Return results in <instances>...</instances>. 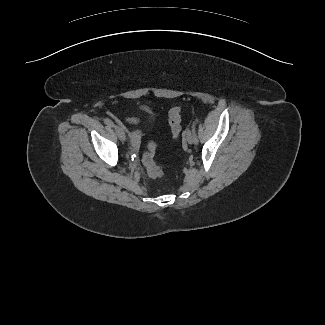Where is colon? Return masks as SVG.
I'll return each mask as SVG.
<instances>
[{"mask_svg": "<svg viewBox=\"0 0 325 325\" xmlns=\"http://www.w3.org/2000/svg\"><path fill=\"white\" fill-rule=\"evenodd\" d=\"M181 107H173L169 111V125L172 132V138L178 139L181 134ZM156 143L150 142L143 155L142 161L149 176L159 178L163 175L162 168L155 161Z\"/></svg>", "mask_w": 325, "mask_h": 325, "instance_id": "1", "label": "colon"}]
</instances>
